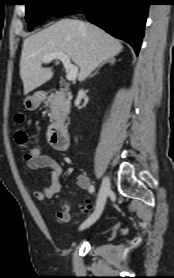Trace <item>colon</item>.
Returning <instances> with one entry per match:
<instances>
[{"instance_id": "1", "label": "colon", "mask_w": 174, "mask_h": 278, "mask_svg": "<svg viewBox=\"0 0 174 278\" xmlns=\"http://www.w3.org/2000/svg\"><path fill=\"white\" fill-rule=\"evenodd\" d=\"M17 122H22L24 116L19 114L16 117ZM16 141L19 146L23 149V159L25 162L35 159L39 155V150L34 147H27V135L24 131L20 130L16 133ZM88 210V205L82 207L81 211L86 212Z\"/></svg>"}]
</instances>
